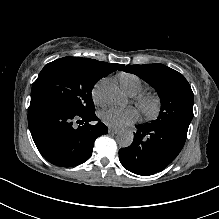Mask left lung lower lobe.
<instances>
[{
    "mask_svg": "<svg viewBox=\"0 0 219 219\" xmlns=\"http://www.w3.org/2000/svg\"><path fill=\"white\" fill-rule=\"evenodd\" d=\"M133 143L119 150V160L132 173L149 176L164 170L180 153L187 133L172 127L137 125Z\"/></svg>",
    "mask_w": 219,
    "mask_h": 219,
    "instance_id": "0a47b994",
    "label": "left lung lower lobe"
}]
</instances>
